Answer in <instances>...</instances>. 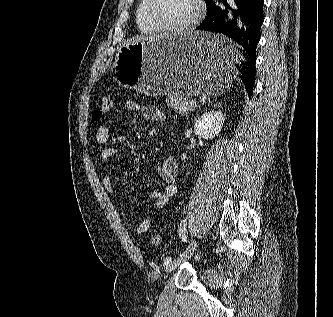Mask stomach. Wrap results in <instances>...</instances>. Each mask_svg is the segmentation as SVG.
<instances>
[{
	"mask_svg": "<svg viewBox=\"0 0 333 317\" xmlns=\"http://www.w3.org/2000/svg\"><path fill=\"white\" fill-rule=\"evenodd\" d=\"M229 33L191 32L134 39L120 47L115 72L119 83L147 96L219 95L235 88L231 62H243Z\"/></svg>",
	"mask_w": 333,
	"mask_h": 317,
	"instance_id": "obj_1",
	"label": "stomach"
}]
</instances>
